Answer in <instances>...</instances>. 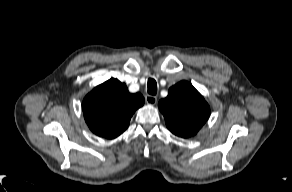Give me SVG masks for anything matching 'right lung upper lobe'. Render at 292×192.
<instances>
[{"label":"right lung upper lobe","instance_id":"right-lung-upper-lobe-1","mask_svg":"<svg viewBox=\"0 0 292 192\" xmlns=\"http://www.w3.org/2000/svg\"><path fill=\"white\" fill-rule=\"evenodd\" d=\"M143 104L140 93H129L124 83L112 78L85 96L82 110L93 133L113 139L128 128L133 113Z\"/></svg>","mask_w":292,"mask_h":192}]
</instances>
